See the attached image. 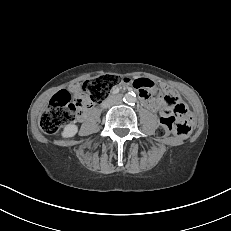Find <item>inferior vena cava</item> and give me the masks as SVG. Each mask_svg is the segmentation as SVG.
Here are the masks:
<instances>
[{
    "mask_svg": "<svg viewBox=\"0 0 231 231\" xmlns=\"http://www.w3.org/2000/svg\"><path fill=\"white\" fill-rule=\"evenodd\" d=\"M112 104H113V102H111V101H105L103 106L104 107H110Z\"/></svg>",
    "mask_w": 231,
    "mask_h": 231,
    "instance_id": "602c4592",
    "label": "inferior vena cava"
}]
</instances>
